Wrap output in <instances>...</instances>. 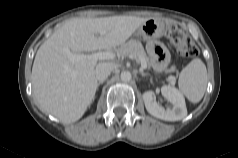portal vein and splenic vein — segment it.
Here are the masks:
<instances>
[{
  "mask_svg": "<svg viewBox=\"0 0 238 158\" xmlns=\"http://www.w3.org/2000/svg\"><path fill=\"white\" fill-rule=\"evenodd\" d=\"M66 53L71 62H78L83 59H93V60H110L114 59L115 54L112 52H97L93 54H74L70 50H66ZM147 68L146 63H141V70Z\"/></svg>",
  "mask_w": 238,
  "mask_h": 158,
  "instance_id": "1",
  "label": "portal vein and splenic vein"
}]
</instances>
